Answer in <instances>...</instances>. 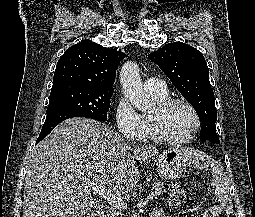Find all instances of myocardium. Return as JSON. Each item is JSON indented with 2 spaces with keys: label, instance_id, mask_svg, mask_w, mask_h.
I'll return each mask as SVG.
<instances>
[{
  "label": "myocardium",
  "instance_id": "1",
  "mask_svg": "<svg viewBox=\"0 0 255 217\" xmlns=\"http://www.w3.org/2000/svg\"><path fill=\"white\" fill-rule=\"evenodd\" d=\"M175 104H183L186 107H188V109L192 112L195 118V122H196L195 129L192 132V134L185 139L176 140V139L169 138L168 136L164 134V131L162 129L161 119L163 114ZM150 126H151L152 136L155 140L167 145L178 146V145L188 144L197 137L202 127V120L196 107L187 99L167 98L164 101L159 102L157 107L155 108V112L150 114Z\"/></svg>",
  "mask_w": 255,
  "mask_h": 217
}]
</instances>
